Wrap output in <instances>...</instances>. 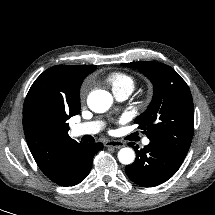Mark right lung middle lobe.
Instances as JSON below:
<instances>
[{
	"mask_svg": "<svg viewBox=\"0 0 215 215\" xmlns=\"http://www.w3.org/2000/svg\"><path fill=\"white\" fill-rule=\"evenodd\" d=\"M35 105L37 115L45 120L49 119L56 111V105L54 103H49L45 98H41L40 96L36 97Z\"/></svg>",
	"mask_w": 215,
	"mask_h": 215,
	"instance_id": "1",
	"label": "right lung middle lobe"
}]
</instances>
